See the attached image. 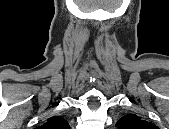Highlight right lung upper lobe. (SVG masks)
<instances>
[{"label":"right lung upper lobe","mask_w":169,"mask_h":129,"mask_svg":"<svg viewBox=\"0 0 169 129\" xmlns=\"http://www.w3.org/2000/svg\"><path fill=\"white\" fill-rule=\"evenodd\" d=\"M44 129H68V122L58 116H53L48 119V121L42 125Z\"/></svg>","instance_id":"cb5924a9"}]
</instances>
